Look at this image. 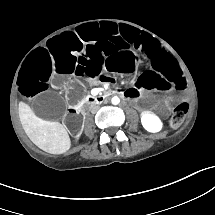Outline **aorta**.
I'll use <instances>...</instances> for the list:
<instances>
[{"label":"aorta","instance_id":"aorta-1","mask_svg":"<svg viewBox=\"0 0 215 215\" xmlns=\"http://www.w3.org/2000/svg\"><path fill=\"white\" fill-rule=\"evenodd\" d=\"M119 103H120L119 97L114 96V97L112 98V104H113V105H118Z\"/></svg>","mask_w":215,"mask_h":215}]
</instances>
